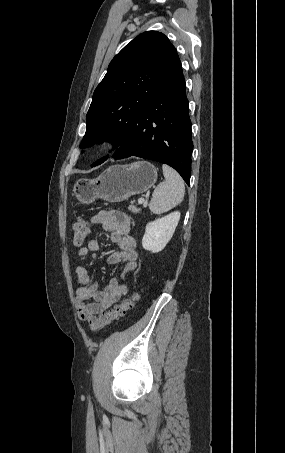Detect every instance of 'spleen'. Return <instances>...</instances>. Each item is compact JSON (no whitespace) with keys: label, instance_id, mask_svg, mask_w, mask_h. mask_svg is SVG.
Listing matches in <instances>:
<instances>
[{"label":"spleen","instance_id":"spleen-1","mask_svg":"<svg viewBox=\"0 0 285 453\" xmlns=\"http://www.w3.org/2000/svg\"><path fill=\"white\" fill-rule=\"evenodd\" d=\"M165 182L160 183L152 194L149 209L162 214L180 204L184 198L185 185L181 176L170 166L163 165Z\"/></svg>","mask_w":285,"mask_h":453}]
</instances>
